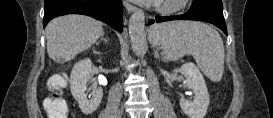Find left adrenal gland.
Listing matches in <instances>:
<instances>
[{
	"mask_svg": "<svg viewBox=\"0 0 273 118\" xmlns=\"http://www.w3.org/2000/svg\"><path fill=\"white\" fill-rule=\"evenodd\" d=\"M154 56H155L156 58H158V57H159V54H158V52H157V51H155Z\"/></svg>",
	"mask_w": 273,
	"mask_h": 118,
	"instance_id": "left-adrenal-gland-1",
	"label": "left adrenal gland"
}]
</instances>
